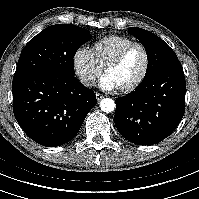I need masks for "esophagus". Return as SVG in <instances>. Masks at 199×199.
Segmentation results:
<instances>
[{"mask_svg":"<svg viewBox=\"0 0 199 199\" xmlns=\"http://www.w3.org/2000/svg\"><path fill=\"white\" fill-rule=\"evenodd\" d=\"M96 98H97V100L99 101V100H101V99L104 98V95H102V94H100V93H96Z\"/></svg>","mask_w":199,"mask_h":199,"instance_id":"1","label":"esophagus"}]
</instances>
